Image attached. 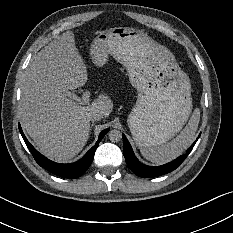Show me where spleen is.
<instances>
[{
    "instance_id": "obj_1",
    "label": "spleen",
    "mask_w": 233,
    "mask_h": 233,
    "mask_svg": "<svg viewBox=\"0 0 233 233\" xmlns=\"http://www.w3.org/2000/svg\"><path fill=\"white\" fill-rule=\"evenodd\" d=\"M200 120V110L196 108L184 130L171 142L157 148L141 149L144 158L154 164L168 163L181 155L195 139V132Z\"/></svg>"
}]
</instances>
